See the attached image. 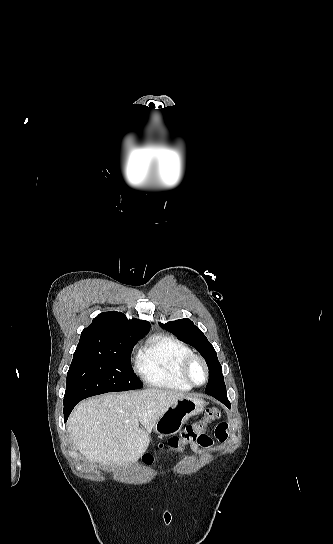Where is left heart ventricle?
<instances>
[{
  "label": "left heart ventricle",
  "instance_id": "b2bd125f",
  "mask_svg": "<svg viewBox=\"0 0 333 544\" xmlns=\"http://www.w3.org/2000/svg\"><path fill=\"white\" fill-rule=\"evenodd\" d=\"M190 376L196 383H202L205 379V371L199 362H195L190 369Z\"/></svg>",
  "mask_w": 333,
  "mask_h": 544
}]
</instances>
